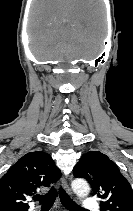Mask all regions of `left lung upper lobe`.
<instances>
[{"label":"left lung upper lobe","instance_id":"5c2ea615","mask_svg":"<svg viewBox=\"0 0 133 211\" xmlns=\"http://www.w3.org/2000/svg\"><path fill=\"white\" fill-rule=\"evenodd\" d=\"M76 178H85L101 211H133V191L117 165L99 151L84 154L73 169Z\"/></svg>","mask_w":133,"mask_h":211}]
</instances>
